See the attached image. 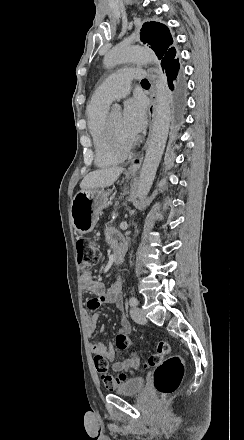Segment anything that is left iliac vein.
<instances>
[{"mask_svg": "<svg viewBox=\"0 0 244 440\" xmlns=\"http://www.w3.org/2000/svg\"><path fill=\"white\" fill-rule=\"evenodd\" d=\"M130 314H131V317L134 320V322L139 323V324L146 323L145 314L141 308L133 307L131 309Z\"/></svg>", "mask_w": 244, "mask_h": 440, "instance_id": "left-iliac-vein-1", "label": "left iliac vein"}]
</instances>
